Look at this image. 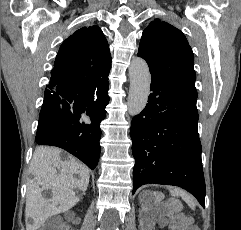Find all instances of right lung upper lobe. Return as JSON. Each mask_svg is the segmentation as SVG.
<instances>
[{
    "instance_id": "obj_1",
    "label": "right lung upper lobe",
    "mask_w": 241,
    "mask_h": 230,
    "mask_svg": "<svg viewBox=\"0 0 241 230\" xmlns=\"http://www.w3.org/2000/svg\"><path fill=\"white\" fill-rule=\"evenodd\" d=\"M110 69V50L101 29L98 26L83 27L61 45L50 82L63 76L107 79Z\"/></svg>"
}]
</instances>
